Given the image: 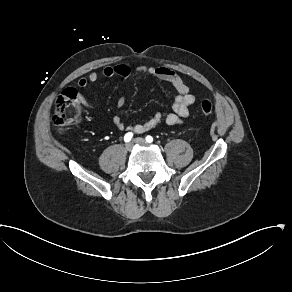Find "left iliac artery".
Here are the masks:
<instances>
[{
    "label": "left iliac artery",
    "instance_id": "left-iliac-artery-1",
    "mask_svg": "<svg viewBox=\"0 0 292 292\" xmlns=\"http://www.w3.org/2000/svg\"><path fill=\"white\" fill-rule=\"evenodd\" d=\"M146 141H147L148 143H152V142H153V137L150 136V135L146 136Z\"/></svg>",
    "mask_w": 292,
    "mask_h": 292
}]
</instances>
